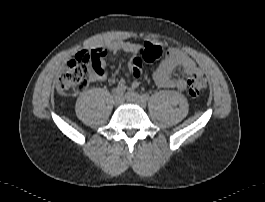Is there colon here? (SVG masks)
Returning a JSON list of instances; mask_svg holds the SVG:
<instances>
[{
  "label": "colon",
  "instance_id": "5ec220e1",
  "mask_svg": "<svg viewBox=\"0 0 265 202\" xmlns=\"http://www.w3.org/2000/svg\"><path fill=\"white\" fill-rule=\"evenodd\" d=\"M106 53L101 48L93 47L78 52L74 59L63 68L58 78V88L62 91L79 92L88 86V66L101 71L99 58ZM168 57V51L158 45H147L132 58V74L137 78L143 68L159 59ZM206 88V80L199 75H193L188 80V94L199 99Z\"/></svg>",
  "mask_w": 265,
  "mask_h": 202
}]
</instances>
